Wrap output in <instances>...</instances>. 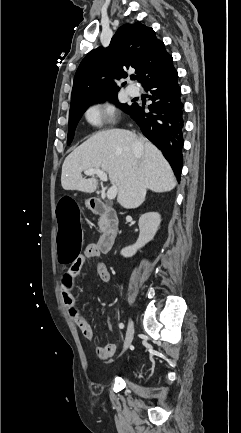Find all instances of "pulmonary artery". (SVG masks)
I'll return each instance as SVG.
<instances>
[{
  "label": "pulmonary artery",
  "mask_w": 241,
  "mask_h": 433,
  "mask_svg": "<svg viewBox=\"0 0 241 433\" xmlns=\"http://www.w3.org/2000/svg\"><path fill=\"white\" fill-rule=\"evenodd\" d=\"M127 92L131 96H137L139 94V89L135 86H128Z\"/></svg>",
  "instance_id": "1"
}]
</instances>
